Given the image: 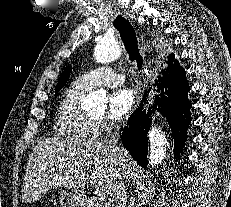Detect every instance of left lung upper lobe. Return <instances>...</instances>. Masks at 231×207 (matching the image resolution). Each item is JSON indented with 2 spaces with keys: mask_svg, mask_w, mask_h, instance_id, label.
<instances>
[{
  "mask_svg": "<svg viewBox=\"0 0 231 207\" xmlns=\"http://www.w3.org/2000/svg\"><path fill=\"white\" fill-rule=\"evenodd\" d=\"M70 73H71V67L69 66L60 75L57 86L55 88V93L59 92L61 88L64 86V84L67 82V80L69 79Z\"/></svg>",
  "mask_w": 231,
  "mask_h": 207,
  "instance_id": "5c2ea615",
  "label": "left lung upper lobe"
}]
</instances>
